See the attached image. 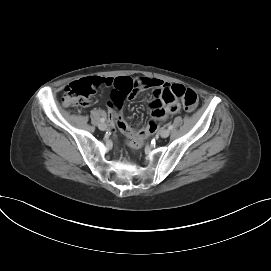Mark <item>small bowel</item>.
<instances>
[{"label": "small bowel", "mask_w": 271, "mask_h": 271, "mask_svg": "<svg viewBox=\"0 0 271 271\" xmlns=\"http://www.w3.org/2000/svg\"><path fill=\"white\" fill-rule=\"evenodd\" d=\"M96 83L97 92L105 96L109 103V116L115 122L120 132L125 134L133 144L138 141L139 133L131 128L121 116L119 109L127 99L140 93L141 89L151 87L154 89L155 99L150 104V115L154 123L164 120L170 114L178 112L177 102L167 105L162 99L163 91L171 85L156 78L146 76H121L119 78L102 77Z\"/></svg>", "instance_id": "1"}]
</instances>
